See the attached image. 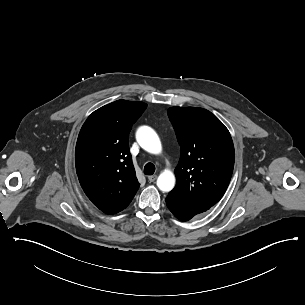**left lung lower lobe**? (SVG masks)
I'll list each match as a JSON object with an SVG mask.
<instances>
[{
	"label": "left lung lower lobe",
	"mask_w": 305,
	"mask_h": 305,
	"mask_svg": "<svg viewBox=\"0 0 305 305\" xmlns=\"http://www.w3.org/2000/svg\"><path fill=\"white\" fill-rule=\"evenodd\" d=\"M166 204L173 215L181 221H188L195 215L206 211L185 206L169 195L166 198Z\"/></svg>",
	"instance_id": "obj_1"
}]
</instances>
